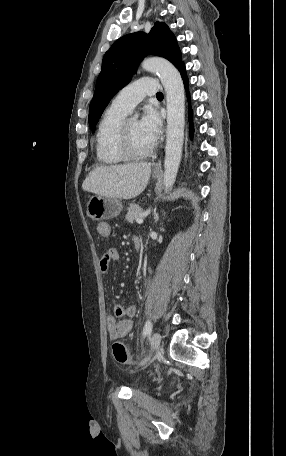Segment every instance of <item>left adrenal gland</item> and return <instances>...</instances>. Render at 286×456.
<instances>
[{
	"label": "left adrenal gland",
	"instance_id": "a2214340",
	"mask_svg": "<svg viewBox=\"0 0 286 456\" xmlns=\"http://www.w3.org/2000/svg\"><path fill=\"white\" fill-rule=\"evenodd\" d=\"M154 220H155V223H157V221L159 220V216H158V213L156 212V209H154Z\"/></svg>",
	"mask_w": 286,
	"mask_h": 456
}]
</instances>
